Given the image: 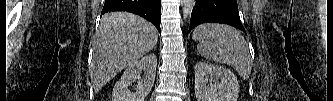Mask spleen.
Returning a JSON list of instances; mask_svg holds the SVG:
<instances>
[{"instance_id": "1", "label": "spleen", "mask_w": 333, "mask_h": 101, "mask_svg": "<svg viewBox=\"0 0 333 101\" xmlns=\"http://www.w3.org/2000/svg\"><path fill=\"white\" fill-rule=\"evenodd\" d=\"M192 38L199 41L197 50L201 56L233 67L244 80L249 78L251 57L239 31L228 25L208 23L198 26Z\"/></svg>"}]
</instances>
